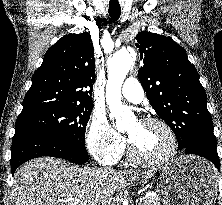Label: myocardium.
Returning a JSON list of instances; mask_svg holds the SVG:
<instances>
[{"instance_id":"1","label":"myocardium","mask_w":222,"mask_h":205,"mask_svg":"<svg viewBox=\"0 0 222 205\" xmlns=\"http://www.w3.org/2000/svg\"><path fill=\"white\" fill-rule=\"evenodd\" d=\"M143 123H149V124H156L162 127L165 132L167 133L169 140H170V145L168 150L161 155L160 157L157 158H144L140 156L134 145L132 144L131 140L128 139V156L129 158L140 165L143 166H158V165H163L167 162H169L176 154L177 151V137L172 129V127L164 120L157 118V117H145L141 120Z\"/></svg>"}]
</instances>
